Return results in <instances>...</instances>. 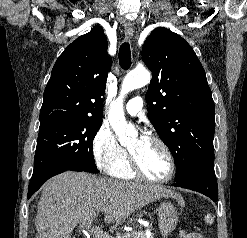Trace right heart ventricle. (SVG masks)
<instances>
[{"label":"right heart ventricle","instance_id":"obj_1","mask_svg":"<svg viewBox=\"0 0 247 238\" xmlns=\"http://www.w3.org/2000/svg\"><path fill=\"white\" fill-rule=\"evenodd\" d=\"M110 174L115 178L125 179V180H130V179L135 178V174L133 173L131 169L130 162L128 159H126L121 164L116 166L110 172Z\"/></svg>","mask_w":247,"mask_h":238}]
</instances>
